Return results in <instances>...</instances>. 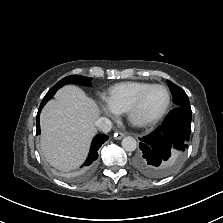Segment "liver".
I'll return each mask as SVG.
<instances>
[{
    "label": "liver",
    "mask_w": 223,
    "mask_h": 223,
    "mask_svg": "<svg viewBox=\"0 0 223 223\" xmlns=\"http://www.w3.org/2000/svg\"><path fill=\"white\" fill-rule=\"evenodd\" d=\"M100 115L96 102L79 87L66 85L40 115L41 151L47 162L61 171L77 168L85 160L96 134Z\"/></svg>",
    "instance_id": "1"
}]
</instances>
